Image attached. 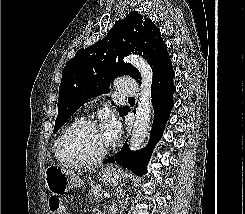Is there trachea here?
Listing matches in <instances>:
<instances>
[{"instance_id": "3493384b", "label": "trachea", "mask_w": 245, "mask_h": 214, "mask_svg": "<svg viewBox=\"0 0 245 214\" xmlns=\"http://www.w3.org/2000/svg\"><path fill=\"white\" fill-rule=\"evenodd\" d=\"M128 99H134L133 97H129Z\"/></svg>"}]
</instances>
